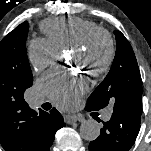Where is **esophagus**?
<instances>
[{"mask_svg":"<svg viewBox=\"0 0 151 151\" xmlns=\"http://www.w3.org/2000/svg\"><path fill=\"white\" fill-rule=\"evenodd\" d=\"M81 117L77 116V115H65L64 116V121L67 124H72L74 122L80 121Z\"/></svg>","mask_w":151,"mask_h":151,"instance_id":"1","label":"esophagus"}]
</instances>
